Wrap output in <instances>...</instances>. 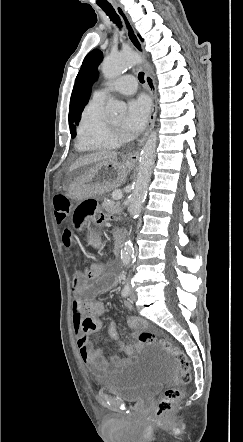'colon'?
Returning a JSON list of instances; mask_svg holds the SVG:
<instances>
[{
    "label": "colon",
    "instance_id": "1",
    "mask_svg": "<svg viewBox=\"0 0 243 442\" xmlns=\"http://www.w3.org/2000/svg\"><path fill=\"white\" fill-rule=\"evenodd\" d=\"M55 218L57 224H63L68 218H72L73 229H65L62 239L65 246L70 247L74 241V231L81 232L87 224L96 222L97 226H104L105 222H122L125 219L122 213H99L96 202L86 200L73 211L69 199L62 194L53 198ZM130 223H135V218H130ZM138 340L140 343L149 345L157 343L164 351L169 353L178 363L180 369V382L188 384L191 381V364L187 355L166 338H157L153 333L142 332ZM182 390L180 387H171L165 390L162 398L157 404L156 417L167 419L176 408Z\"/></svg>",
    "mask_w": 243,
    "mask_h": 442
}]
</instances>
